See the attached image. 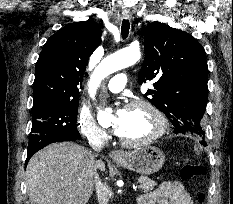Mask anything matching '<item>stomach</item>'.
Masks as SVG:
<instances>
[{"label": "stomach", "instance_id": "stomach-1", "mask_svg": "<svg viewBox=\"0 0 233 204\" xmlns=\"http://www.w3.org/2000/svg\"><path fill=\"white\" fill-rule=\"evenodd\" d=\"M125 169L150 175L159 171L165 162L164 153L157 147L147 146L125 153L123 158L116 160Z\"/></svg>", "mask_w": 233, "mask_h": 204}]
</instances>
